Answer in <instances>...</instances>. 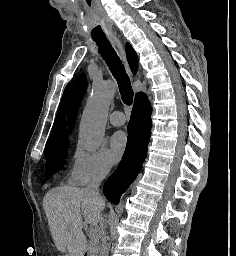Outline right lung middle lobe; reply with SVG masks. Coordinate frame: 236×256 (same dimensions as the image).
I'll use <instances>...</instances> for the list:
<instances>
[{
    "label": "right lung middle lobe",
    "instance_id": "obj_1",
    "mask_svg": "<svg viewBox=\"0 0 236 256\" xmlns=\"http://www.w3.org/2000/svg\"><path fill=\"white\" fill-rule=\"evenodd\" d=\"M68 147V137L58 141L47 142L45 148L46 175H51L59 170L67 156Z\"/></svg>",
    "mask_w": 236,
    "mask_h": 256
}]
</instances>
